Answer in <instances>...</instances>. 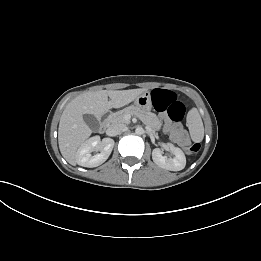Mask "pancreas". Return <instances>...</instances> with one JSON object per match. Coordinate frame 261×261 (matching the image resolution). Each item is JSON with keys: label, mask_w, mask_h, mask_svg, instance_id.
I'll use <instances>...</instances> for the list:
<instances>
[{"label": "pancreas", "mask_w": 261, "mask_h": 261, "mask_svg": "<svg viewBox=\"0 0 261 261\" xmlns=\"http://www.w3.org/2000/svg\"><path fill=\"white\" fill-rule=\"evenodd\" d=\"M127 115L138 116L148 126L157 127V128H159L160 126L158 118L154 113L144 111L138 108L137 106H133V105L109 115L108 122L110 124H115V123L127 124L129 123V119L126 118Z\"/></svg>", "instance_id": "obj_1"}]
</instances>
